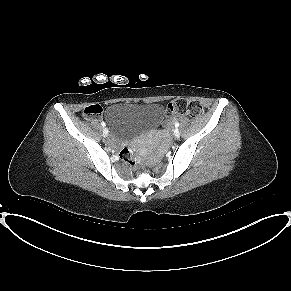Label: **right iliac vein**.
Returning <instances> with one entry per match:
<instances>
[{
    "label": "right iliac vein",
    "mask_w": 291,
    "mask_h": 291,
    "mask_svg": "<svg viewBox=\"0 0 291 291\" xmlns=\"http://www.w3.org/2000/svg\"><path fill=\"white\" fill-rule=\"evenodd\" d=\"M103 136L104 137H107L108 136V129L107 128H104L103 129Z\"/></svg>",
    "instance_id": "1"
}]
</instances>
